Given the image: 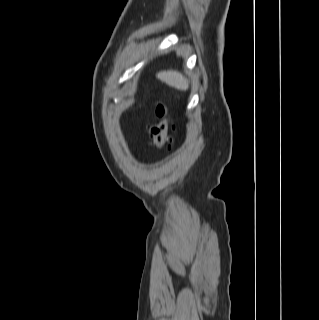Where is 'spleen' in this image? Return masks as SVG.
Here are the masks:
<instances>
[{"label":"spleen","mask_w":319,"mask_h":320,"mask_svg":"<svg viewBox=\"0 0 319 320\" xmlns=\"http://www.w3.org/2000/svg\"><path fill=\"white\" fill-rule=\"evenodd\" d=\"M156 77L162 82L176 89L186 91L189 88L188 80L178 71H161L156 74Z\"/></svg>","instance_id":"spleen-1"}]
</instances>
